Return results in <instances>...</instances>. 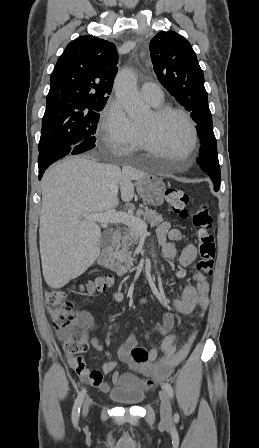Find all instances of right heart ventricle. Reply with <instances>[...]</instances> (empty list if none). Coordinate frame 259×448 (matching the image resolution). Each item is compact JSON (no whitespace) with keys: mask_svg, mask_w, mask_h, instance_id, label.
Masks as SVG:
<instances>
[{"mask_svg":"<svg viewBox=\"0 0 259 448\" xmlns=\"http://www.w3.org/2000/svg\"><path fill=\"white\" fill-rule=\"evenodd\" d=\"M149 103V102H148ZM151 106H153V107H158V106H161L162 105V101L161 102H159V103H149ZM136 126V128H137V131H138V134H139V143H138V147H137V150L136 151H139V150H141V149H144V144H143V141H142V138H141V134H140V129H139V125H135ZM133 160V159H132Z\"/></svg>","mask_w":259,"mask_h":448,"instance_id":"1","label":"right heart ventricle"}]
</instances>
